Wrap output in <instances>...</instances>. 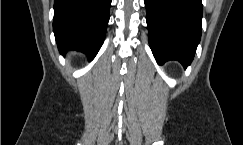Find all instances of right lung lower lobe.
<instances>
[{
  "instance_id": "obj_1",
  "label": "right lung lower lobe",
  "mask_w": 243,
  "mask_h": 145,
  "mask_svg": "<svg viewBox=\"0 0 243 145\" xmlns=\"http://www.w3.org/2000/svg\"><path fill=\"white\" fill-rule=\"evenodd\" d=\"M112 0H55L53 31L61 53L77 50L93 59L104 42Z\"/></svg>"
}]
</instances>
